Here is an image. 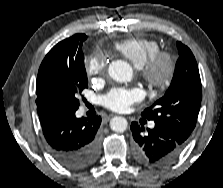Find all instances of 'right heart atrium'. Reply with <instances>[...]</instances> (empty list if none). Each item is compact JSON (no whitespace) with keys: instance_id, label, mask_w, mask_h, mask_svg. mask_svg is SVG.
<instances>
[{"instance_id":"1","label":"right heart atrium","mask_w":223,"mask_h":188,"mask_svg":"<svg viewBox=\"0 0 223 188\" xmlns=\"http://www.w3.org/2000/svg\"><path fill=\"white\" fill-rule=\"evenodd\" d=\"M106 67L105 59L99 54H92L87 60V73L96 75L104 71Z\"/></svg>"}]
</instances>
